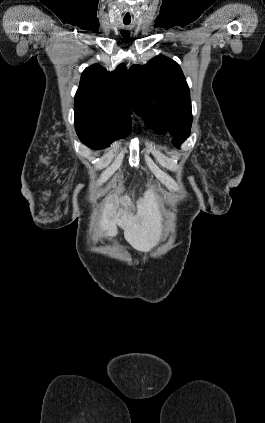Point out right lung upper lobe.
Wrapping results in <instances>:
<instances>
[{"mask_svg":"<svg viewBox=\"0 0 265 423\" xmlns=\"http://www.w3.org/2000/svg\"><path fill=\"white\" fill-rule=\"evenodd\" d=\"M75 113L120 123L132 114L127 86V69L120 64L113 72L94 64L82 73L75 95Z\"/></svg>","mask_w":265,"mask_h":423,"instance_id":"cb5924a9","label":"right lung upper lobe"}]
</instances>
